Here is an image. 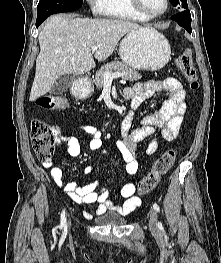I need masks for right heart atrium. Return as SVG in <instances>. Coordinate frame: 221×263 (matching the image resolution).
Instances as JSON below:
<instances>
[{
    "label": "right heart atrium",
    "instance_id": "right-heart-atrium-1",
    "mask_svg": "<svg viewBox=\"0 0 221 263\" xmlns=\"http://www.w3.org/2000/svg\"><path fill=\"white\" fill-rule=\"evenodd\" d=\"M94 14L102 13V0H86Z\"/></svg>",
    "mask_w": 221,
    "mask_h": 263
}]
</instances>
